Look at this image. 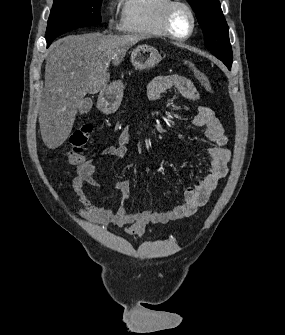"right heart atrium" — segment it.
Returning <instances> with one entry per match:
<instances>
[{"label": "right heart atrium", "mask_w": 285, "mask_h": 335, "mask_svg": "<svg viewBox=\"0 0 285 335\" xmlns=\"http://www.w3.org/2000/svg\"><path fill=\"white\" fill-rule=\"evenodd\" d=\"M108 21L113 22V11H110L107 15Z\"/></svg>", "instance_id": "obj_1"}]
</instances>
